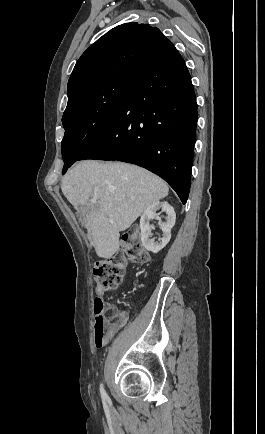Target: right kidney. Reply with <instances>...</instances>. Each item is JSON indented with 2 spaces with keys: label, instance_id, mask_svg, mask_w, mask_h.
<instances>
[{
  "label": "right kidney",
  "instance_id": "obj_1",
  "mask_svg": "<svg viewBox=\"0 0 265 434\" xmlns=\"http://www.w3.org/2000/svg\"><path fill=\"white\" fill-rule=\"evenodd\" d=\"M157 210H161V212H165L166 214V222H159V226L164 232V236L160 242H154V240H150L151 234V224H149L150 220L156 218L158 214H156ZM176 214L174 212V208L168 204V202H154L151 206L146 208L144 214H142L140 218V230H141V242L142 246L148 250V252H153V254H158L162 248H165L166 244L171 240V230L173 226H175Z\"/></svg>",
  "mask_w": 265,
  "mask_h": 434
}]
</instances>
